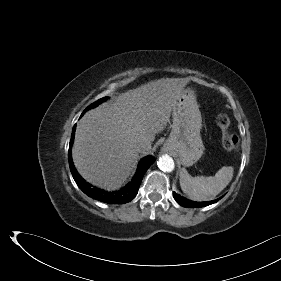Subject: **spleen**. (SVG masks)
I'll return each instance as SVG.
<instances>
[{
	"label": "spleen",
	"instance_id": "1",
	"mask_svg": "<svg viewBox=\"0 0 281 281\" xmlns=\"http://www.w3.org/2000/svg\"><path fill=\"white\" fill-rule=\"evenodd\" d=\"M233 177V168L223 166L215 176L192 177L185 168L180 170V186L182 191L194 201H209L214 199Z\"/></svg>",
	"mask_w": 281,
	"mask_h": 281
}]
</instances>
